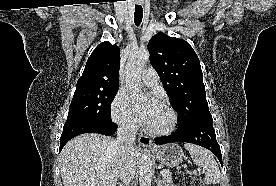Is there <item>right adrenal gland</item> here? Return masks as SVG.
<instances>
[{
    "label": "right adrenal gland",
    "mask_w": 276,
    "mask_h": 186,
    "mask_svg": "<svg viewBox=\"0 0 276 186\" xmlns=\"http://www.w3.org/2000/svg\"><path fill=\"white\" fill-rule=\"evenodd\" d=\"M116 184L118 185V186H125L123 183H121V182H116Z\"/></svg>",
    "instance_id": "right-adrenal-gland-1"
}]
</instances>
